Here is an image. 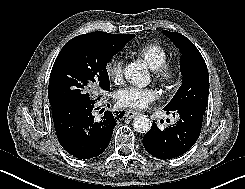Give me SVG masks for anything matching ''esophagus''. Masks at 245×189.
<instances>
[{
	"label": "esophagus",
	"mask_w": 245,
	"mask_h": 189,
	"mask_svg": "<svg viewBox=\"0 0 245 189\" xmlns=\"http://www.w3.org/2000/svg\"><path fill=\"white\" fill-rule=\"evenodd\" d=\"M138 114V112L137 111H135V110H128L127 112H126V117L127 118H129V119H131V118H133L134 116H136Z\"/></svg>",
	"instance_id": "obj_1"
}]
</instances>
